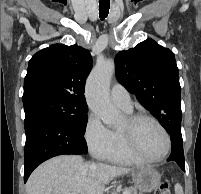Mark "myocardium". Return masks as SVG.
Wrapping results in <instances>:
<instances>
[{"label":"myocardium","mask_w":201,"mask_h":194,"mask_svg":"<svg viewBox=\"0 0 201 194\" xmlns=\"http://www.w3.org/2000/svg\"><path fill=\"white\" fill-rule=\"evenodd\" d=\"M144 120L150 121L154 123L164 134L167 142V147L165 152L158 156V157H149L143 154L137 147L136 145V140H135V133H136V128L138 124ZM121 133L123 135L126 147L128 150L135 155L137 158L146 161V162H159L165 159L169 153L171 152L172 149V138L169 133V131L166 129V127L155 117L148 115V114H143V113H138V114H131L127 116L126 118V124L124 127L120 128Z\"/></svg>","instance_id":"1"}]
</instances>
